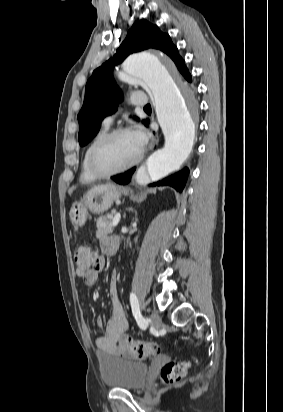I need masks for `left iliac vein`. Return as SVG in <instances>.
Wrapping results in <instances>:
<instances>
[{"label": "left iliac vein", "instance_id": "obj_1", "mask_svg": "<svg viewBox=\"0 0 283 412\" xmlns=\"http://www.w3.org/2000/svg\"><path fill=\"white\" fill-rule=\"evenodd\" d=\"M150 319L152 320L156 328H159L161 326V318L157 312L153 311L150 314Z\"/></svg>", "mask_w": 283, "mask_h": 412}]
</instances>
